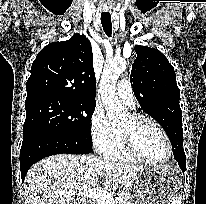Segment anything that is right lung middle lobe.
Instances as JSON below:
<instances>
[{
  "label": "right lung middle lobe",
  "instance_id": "right-lung-middle-lobe-1",
  "mask_svg": "<svg viewBox=\"0 0 206 204\" xmlns=\"http://www.w3.org/2000/svg\"><path fill=\"white\" fill-rule=\"evenodd\" d=\"M95 106L96 101L55 96L26 99L23 136L45 130L91 147L90 122Z\"/></svg>",
  "mask_w": 206,
  "mask_h": 204
}]
</instances>
